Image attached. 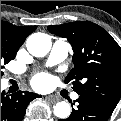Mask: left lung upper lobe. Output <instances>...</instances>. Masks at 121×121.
<instances>
[{"label":"left lung upper lobe","instance_id":"left-lung-upper-lobe-1","mask_svg":"<svg viewBox=\"0 0 121 121\" xmlns=\"http://www.w3.org/2000/svg\"><path fill=\"white\" fill-rule=\"evenodd\" d=\"M48 31L71 43L75 67L65 82L74 91L114 110L121 96V48L112 36L90 21L48 26ZM83 83H80V81Z\"/></svg>","mask_w":121,"mask_h":121}]
</instances>
